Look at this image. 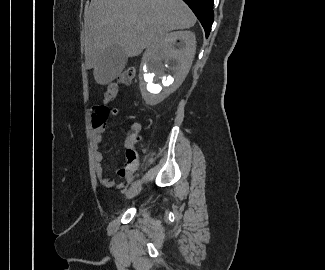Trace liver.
<instances>
[{"label":"liver","instance_id":"liver-1","mask_svg":"<svg viewBox=\"0 0 325 270\" xmlns=\"http://www.w3.org/2000/svg\"><path fill=\"white\" fill-rule=\"evenodd\" d=\"M84 22L85 64L94 68L95 81L103 85L111 81L96 68L107 48L118 45L127 57L138 56L170 31L194 26L196 17L182 0H91Z\"/></svg>","mask_w":325,"mask_h":270}]
</instances>
